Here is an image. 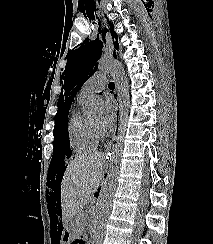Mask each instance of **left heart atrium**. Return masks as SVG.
Segmentation results:
<instances>
[{"instance_id": "39dd6f15", "label": "left heart atrium", "mask_w": 213, "mask_h": 244, "mask_svg": "<svg viewBox=\"0 0 213 244\" xmlns=\"http://www.w3.org/2000/svg\"><path fill=\"white\" fill-rule=\"evenodd\" d=\"M104 107L105 113L101 125L104 130H110L115 124L117 105L111 97H107Z\"/></svg>"}]
</instances>
